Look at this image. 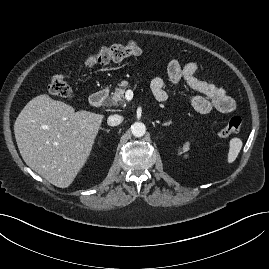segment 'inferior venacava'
<instances>
[{
	"label": "inferior vena cava",
	"mask_w": 269,
	"mask_h": 269,
	"mask_svg": "<svg viewBox=\"0 0 269 269\" xmlns=\"http://www.w3.org/2000/svg\"><path fill=\"white\" fill-rule=\"evenodd\" d=\"M123 121V117L120 115H111L107 119V123L109 126H117Z\"/></svg>",
	"instance_id": "602c4592"
}]
</instances>
